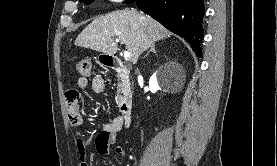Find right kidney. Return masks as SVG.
Returning <instances> with one entry per match:
<instances>
[{
  "label": "right kidney",
  "instance_id": "1",
  "mask_svg": "<svg viewBox=\"0 0 277 166\" xmlns=\"http://www.w3.org/2000/svg\"><path fill=\"white\" fill-rule=\"evenodd\" d=\"M166 86L163 83L162 75L160 73H155L149 81V88L152 93Z\"/></svg>",
  "mask_w": 277,
  "mask_h": 166
}]
</instances>
